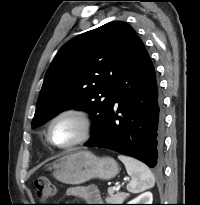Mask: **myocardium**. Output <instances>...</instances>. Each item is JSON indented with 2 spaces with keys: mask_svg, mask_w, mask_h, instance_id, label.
I'll use <instances>...</instances> for the list:
<instances>
[{
  "mask_svg": "<svg viewBox=\"0 0 200 205\" xmlns=\"http://www.w3.org/2000/svg\"><path fill=\"white\" fill-rule=\"evenodd\" d=\"M64 118H71L78 123L80 128L79 135L76 139H74L73 141L67 144H57L52 138V129L59 120ZM92 130H93L92 120L86 111L77 108H69L61 111L60 113H58L56 116L52 118L47 128L46 137H47V141L52 146L58 149H71L89 140L92 134Z\"/></svg>",
  "mask_w": 200,
  "mask_h": 205,
  "instance_id": "1",
  "label": "myocardium"
}]
</instances>
